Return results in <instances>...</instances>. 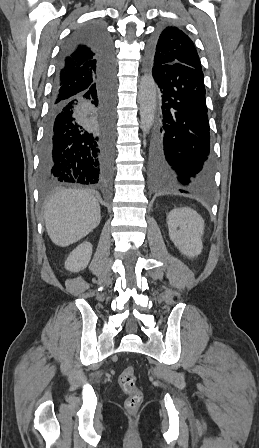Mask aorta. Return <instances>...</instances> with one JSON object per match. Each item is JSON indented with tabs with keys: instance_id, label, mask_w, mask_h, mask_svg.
<instances>
[{
	"instance_id": "obj_1",
	"label": "aorta",
	"mask_w": 259,
	"mask_h": 448,
	"mask_svg": "<svg viewBox=\"0 0 259 448\" xmlns=\"http://www.w3.org/2000/svg\"><path fill=\"white\" fill-rule=\"evenodd\" d=\"M138 101L140 106V123L143 133L148 134L155 118L156 111V85L150 75L141 78Z\"/></svg>"
}]
</instances>
